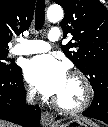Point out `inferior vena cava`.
<instances>
[{
    "mask_svg": "<svg viewBox=\"0 0 108 127\" xmlns=\"http://www.w3.org/2000/svg\"><path fill=\"white\" fill-rule=\"evenodd\" d=\"M35 93H36V90L34 89L30 90V92L27 94V99H26L27 103L32 102Z\"/></svg>",
    "mask_w": 108,
    "mask_h": 127,
    "instance_id": "obj_1",
    "label": "inferior vena cava"
}]
</instances>
